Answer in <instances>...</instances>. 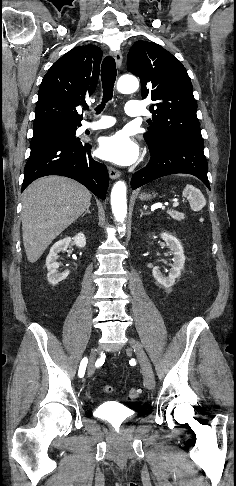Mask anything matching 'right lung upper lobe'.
<instances>
[{
  "label": "right lung upper lobe",
  "instance_id": "1",
  "mask_svg": "<svg viewBox=\"0 0 236 486\" xmlns=\"http://www.w3.org/2000/svg\"><path fill=\"white\" fill-rule=\"evenodd\" d=\"M101 59L102 51L94 45L76 47L59 58L40 85L34 126L81 123L77 107L95 91Z\"/></svg>",
  "mask_w": 236,
  "mask_h": 486
}]
</instances>
